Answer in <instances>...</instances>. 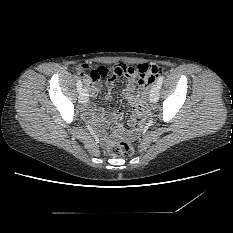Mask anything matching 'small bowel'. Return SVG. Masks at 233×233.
I'll use <instances>...</instances> for the list:
<instances>
[{"instance_id": "obj_1", "label": "small bowel", "mask_w": 233, "mask_h": 233, "mask_svg": "<svg viewBox=\"0 0 233 233\" xmlns=\"http://www.w3.org/2000/svg\"><path fill=\"white\" fill-rule=\"evenodd\" d=\"M108 68L112 70V76L106 82L108 89V92L106 94V99L107 102H111L112 101L111 90L115 85V81L124 74L119 64L112 65ZM86 84L89 88L90 96L94 98L100 90V86H101L100 81L94 82L88 80ZM138 86L140 93L148 94L149 83H142L139 80ZM134 89H135V79L134 77H129L127 86L123 91V94L126 97L127 101L133 107L132 114L127 122L128 128L124 127L123 125L116 126L111 134L102 136L103 143L108 144L119 138L132 140L139 135L141 131V127L137 123L136 118L141 113V107L138 105L139 104L138 98L134 95ZM120 115H121V111L107 112L103 109L98 108L94 103L89 104L85 111V116L94 120L98 124L99 129L101 131L107 124L116 120Z\"/></svg>"}]
</instances>
